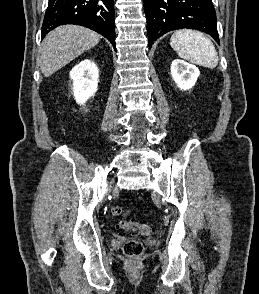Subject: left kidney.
I'll return each instance as SVG.
<instances>
[{
    "mask_svg": "<svg viewBox=\"0 0 259 294\" xmlns=\"http://www.w3.org/2000/svg\"><path fill=\"white\" fill-rule=\"evenodd\" d=\"M170 70L172 79L181 90L191 89L200 75V71L196 66L181 59H175Z\"/></svg>",
    "mask_w": 259,
    "mask_h": 294,
    "instance_id": "obj_1",
    "label": "left kidney"
}]
</instances>
